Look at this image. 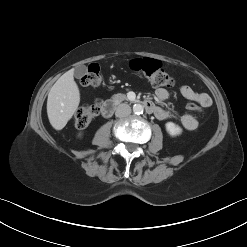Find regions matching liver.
<instances>
[{
	"instance_id": "6515ba94",
	"label": "liver",
	"mask_w": 247,
	"mask_h": 247,
	"mask_svg": "<svg viewBox=\"0 0 247 247\" xmlns=\"http://www.w3.org/2000/svg\"><path fill=\"white\" fill-rule=\"evenodd\" d=\"M73 75L72 69L64 73L48 94L47 115L55 130H61L66 126L80 103L79 88Z\"/></svg>"
}]
</instances>
